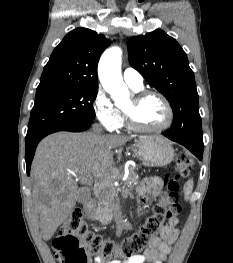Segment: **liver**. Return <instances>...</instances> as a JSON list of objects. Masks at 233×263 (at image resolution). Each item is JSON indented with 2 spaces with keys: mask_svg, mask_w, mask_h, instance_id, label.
<instances>
[{
  "mask_svg": "<svg viewBox=\"0 0 233 263\" xmlns=\"http://www.w3.org/2000/svg\"><path fill=\"white\" fill-rule=\"evenodd\" d=\"M132 138L92 132H58L39 143L32 163L36 180L33 200L40 214L39 226L44 240L52 238L78 200L79 188L74 177L91 172L96 181L110 180L112 149Z\"/></svg>",
  "mask_w": 233,
  "mask_h": 263,
  "instance_id": "obj_1",
  "label": "liver"
}]
</instances>
